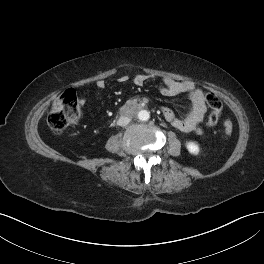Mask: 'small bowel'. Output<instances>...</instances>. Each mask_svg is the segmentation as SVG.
<instances>
[{
  "label": "small bowel",
  "mask_w": 264,
  "mask_h": 264,
  "mask_svg": "<svg viewBox=\"0 0 264 264\" xmlns=\"http://www.w3.org/2000/svg\"><path fill=\"white\" fill-rule=\"evenodd\" d=\"M151 77L147 74H136L132 78L129 76H121L118 78V83L125 84L131 81L136 86H142ZM100 90L105 89L106 82L99 80L96 83ZM160 92L166 96H173L177 94H187L190 101V108L183 116H176L175 113L167 107L162 108V113L165 119L176 129L184 133H201V124L204 121L207 111L205 105L204 92L194 82L165 78L160 85ZM85 100H81V104H85Z\"/></svg>",
  "instance_id": "obj_1"
}]
</instances>
